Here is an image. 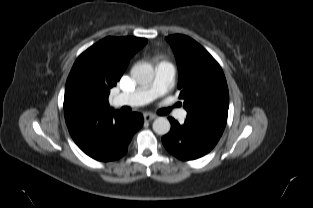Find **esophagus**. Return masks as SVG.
<instances>
[{"mask_svg": "<svg viewBox=\"0 0 313 208\" xmlns=\"http://www.w3.org/2000/svg\"><path fill=\"white\" fill-rule=\"evenodd\" d=\"M144 120L145 121H152V120H154V119H156L157 118V116L156 115H154V114H150V113H146V114H144Z\"/></svg>", "mask_w": 313, "mask_h": 208, "instance_id": "1", "label": "esophagus"}]
</instances>
